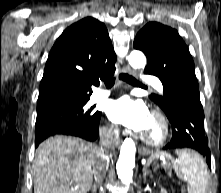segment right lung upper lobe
I'll return each instance as SVG.
<instances>
[{"label":"right lung upper lobe","mask_w":221,"mask_h":193,"mask_svg":"<svg viewBox=\"0 0 221 193\" xmlns=\"http://www.w3.org/2000/svg\"><path fill=\"white\" fill-rule=\"evenodd\" d=\"M116 55L103 23L92 17L68 27L52 47L40 83L38 104L90 99L91 84L114 74Z\"/></svg>","instance_id":"right-lung-upper-lobe-1"}]
</instances>
